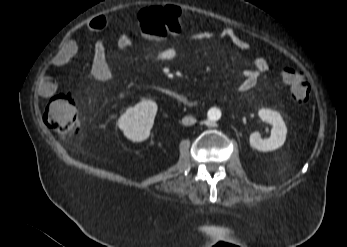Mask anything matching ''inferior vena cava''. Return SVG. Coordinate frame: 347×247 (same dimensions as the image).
<instances>
[{"label":"inferior vena cava","mask_w":347,"mask_h":247,"mask_svg":"<svg viewBox=\"0 0 347 247\" xmlns=\"http://www.w3.org/2000/svg\"><path fill=\"white\" fill-rule=\"evenodd\" d=\"M182 123L184 125H193L196 123V119L192 116H185L183 119H182Z\"/></svg>","instance_id":"602c4592"}]
</instances>
